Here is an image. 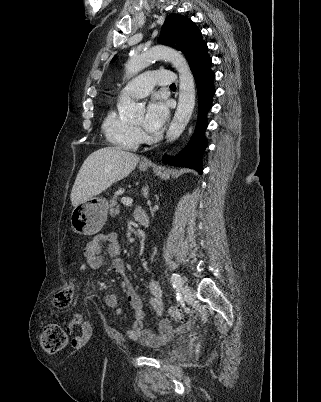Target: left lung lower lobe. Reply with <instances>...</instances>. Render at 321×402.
Instances as JSON below:
<instances>
[{
	"mask_svg": "<svg viewBox=\"0 0 321 402\" xmlns=\"http://www.w3.org/2000/svg\"><path fill=\"white\" fill-rule=\"evenodd\" d=\"M212 59L208 55L206 43H202L192 54L189 60L190 68L193 72L197 92H198V111L199 122L195 133L188 145L175 157H163V161L174 166H183L195 169L202 174L201 156L207 147L205 129L208 125L207 112L212 106V97L215 94L213 80L214 72L211 70Z\"/></svg>",
	"mask_w": 321,
	"mask_h": 402,
	"instance_id": "obj_1",
	"label": "left lung lower lobe"
}]
</instances>
